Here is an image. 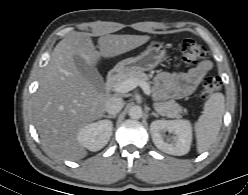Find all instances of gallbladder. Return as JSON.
Segmentation results:
<instances>
[{
    "instance_id": "obj_1",
    "label": "gallbladder",
    "mask_w": 248,
    "mask_h": 195,
    "mask_svg": "<svg viewBox=\"0 0 248 195\" xmlns=\"http://www.w3.org/2000/svg\"><path fill=\"white\" fill-rule=\"evenodd\" d=\"M74 63L79 73L86 80H88L97 91L103 90L104 88L103 77L94 66L87 64V62L79 56L74 57Z\"/></svg>"
}]
</instances>
